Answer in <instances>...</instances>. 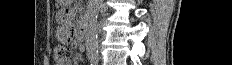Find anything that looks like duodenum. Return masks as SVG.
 Listing matches in <instances>:
<instances>
[{"mask_svg": "<svg viewBox=\"0 0 232 65\" xmlns=\"http://www.w3.org/2000/svg\"><path fill=\"white\" fill-rule=\"evenodd\" d=\"M86 29L83 23H80L78 27V39L80 42H84L85 40Z\"/></svg>", "mask_w": 232, "mask_h": 65, "instance_id": "410a0bca", "label": "duodenum"}]
</instances>
